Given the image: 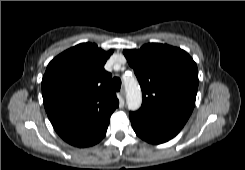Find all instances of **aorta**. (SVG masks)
<instances>
[{
	"label": "aorta",
	"mask_w": 245,
	"mask_h": 170,
	"mask_svg": "<svg viewBox=\"0 0 245 170\" xmlns=\"http://www.w3.org/2000/svg\"><path fill=\"white\" fill-rule=\"evenodd\" d=\"M126 103L129 110H138L142 103V94L137 81L131 78L125 82Z\"/></svg>",
	"instance_id": "aorta-1"
}]
</instances>
